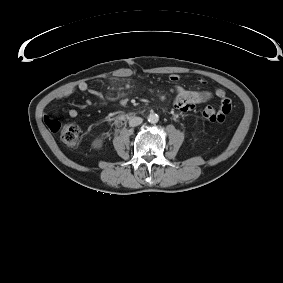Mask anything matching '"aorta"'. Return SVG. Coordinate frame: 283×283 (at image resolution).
I'll list each match as a JSON object with an SVG mask.
<instances>
[{"label": "aorta", "mask_w": 283, "mask_h": 283, "mask_svg": "<svg viewBox=\"0 0 283 283\" xmlns=\"http://www.w3.org/2000/svg\"><path fill=\"white\" fill-rule=\"evenodd\" d=\"M159 121V116L152 112L148 115V122L151 123V124H155Z\"/></svg>", "instance_id": "aorta-1"}]
</instances>
